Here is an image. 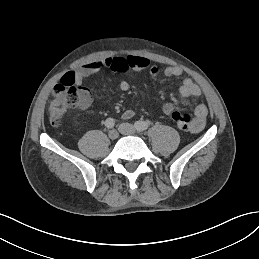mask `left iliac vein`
I'll list each match as a JSON object with an SVG mask.
<instances>
[{
  "label": "left iliac vein",
  "instance_id": "4c4485c4",
  "mask_svg": "<svg viewBox=\"0 0 259 259\" xmlns=\"http://www.w3.org/2000/svg\"><path fill=\"white\" fill-rule=\"evenodd\" d=\"M118 130L123 135H135L137 133V129L129 123L120 124Z\"/></svg>",
  "mask_w": 259,
  "mask_h": 259
}]
</instances>
